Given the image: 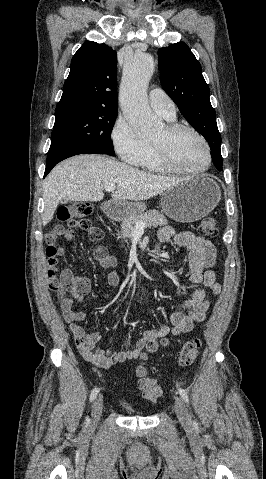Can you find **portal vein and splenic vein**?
Here are the masks:
<instances>
[{
    "mask_svg": "<svg viewBox=\"0 0 266 479\" xmlns=\"http://www.w3.org/2000/svg\"><path fill=\"white\" fill-rule=\"evenodd\" d=\"M104 189L105 191L112 192L116 189V186L114 184H109L105 185ZM145 227L146 225L142 221H137L135 224V230L139 232H143Z\"/></svg>",
    "mask_w": 266,
    "mask_h": 479,
    "instance_id": "18ae733b",
    "label": "portal vein and splenic vein"
}]
</instances>
